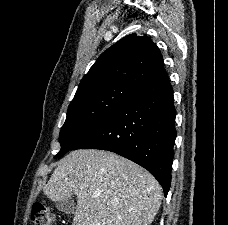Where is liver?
I'll return each instance as SVG.
<instances>
[{"instance_id": "6515ba94", "label": "liver", "mask_w": 228, "mask_h": 225, "mask_svg": "<svg viewBox=\"0 0 228 225\" xmlns=\"http://www.w3.org/2000/svg\"><path fill=\"white\" fill-rule=\"evenodd\" d=\"M43 193L50 201L75 195L73 225H151L163 195L148 171L97 149H78L61 159Z\"/></svg>"}]
</instances>
